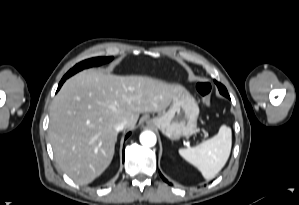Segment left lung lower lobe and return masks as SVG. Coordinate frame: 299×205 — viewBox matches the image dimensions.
<instances>
[{
  "label": "left lung lower lobe",
  "mask_w": 299,
  "mask_h": 205,
  "mask_svg": "<svg viewBox=\"0 0 299 205\" xmlns=\"http://www.w3.org/2000/svg\"><path fill=\"white\" fill-rule=\"evenodd\" d=\"M226 97H228L229 98V95H227ZM161 177L163 178V180L165 181V182H167V180L161 175Z\"/></svg>",
  "instance_id": "0a47b994"
}]
</instances>
